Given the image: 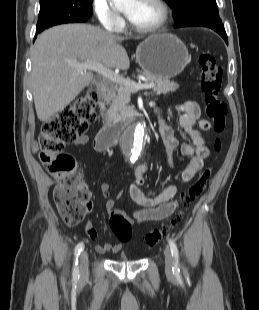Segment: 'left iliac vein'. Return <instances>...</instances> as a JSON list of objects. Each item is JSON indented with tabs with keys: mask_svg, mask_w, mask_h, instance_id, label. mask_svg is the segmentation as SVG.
Masks as SVG:
<instances>
[{
	"mask_svg": "<svg viewBox=\"0 0 259 310\" xmlns=\"http://www.w3.org/2000/svg\"><path fill=\"white\" fill-rule=\"evenodd\" d=\"M164 256H165V271L167 274H172L174 263L171 251L168 248H165Z\"/></svg>",
	"mask_w": 259,
	"mask_h": 310,
	"instance_id": "1",
	"label": "left iliac vein"
}]
</instances>
